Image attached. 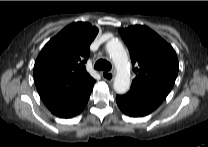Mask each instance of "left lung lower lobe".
Instances as JSON below:
<instances>
[{"mask_svg":"<svg viewBox=\"0 0 208 147\" xmlns=\"http://www.w3.org/2000/svg\"><path fill=\"white\" fill-rule=\"evenodd\" d=\"M163 100L164 98L159 95L132 86L127 94L116 96L121 111L131 117H141L151 113Z\"/></svg>","mask_w":208,"mask_h":147,"instance_id":"0a47b994","label":"left lung lower lobe"}]
</instances>
